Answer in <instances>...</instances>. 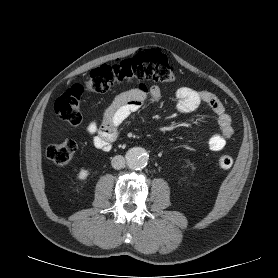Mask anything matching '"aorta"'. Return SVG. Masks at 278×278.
Segmentation results:
<instances>
[{
  "instance_id": "aorta-1",
  "label": "aorta",
  "mask_w": 278,
  "mask_h": 278,
  "mask_svg": "<svg viewBox=\"0 0 278 278\" xmlns=\"http://www.w3.org/2000/svg\"><path fill=\"white\" fill-rule=\"evenodd\" d=\"M125 158L130 169L140 170L146 167L149 156L144 148L133 147L127 151Z\"/></svg>"
}]
</instances>
